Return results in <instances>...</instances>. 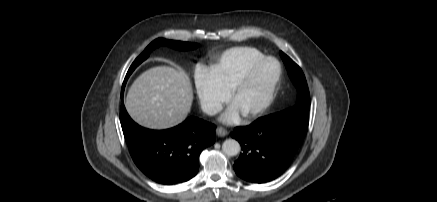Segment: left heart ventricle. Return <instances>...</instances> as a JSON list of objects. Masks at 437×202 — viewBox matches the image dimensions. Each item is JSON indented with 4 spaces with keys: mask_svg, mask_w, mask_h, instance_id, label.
<instances>
[{
    "mask_svg": "<svg viewBox=\"0 0 437 202\" xmlns=\"http://www.w3.org/2000/svg\"><path fill=\"white\" fill-rule=\"evenodd\" d=\"M276 70L274 62H267L258 68L252 80L234 100L242 114L253 110L262 102L276 74Z\"/></svg>",
    "mask_w": 437,
    "mask_h": 202,
    "instance_id": "left-heart-ventricle-1",
    "label": "left heart ventricle"
}]
</instances>
